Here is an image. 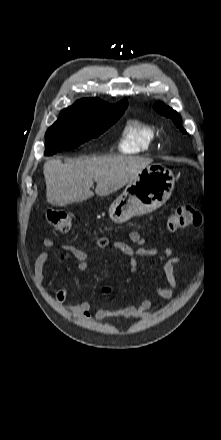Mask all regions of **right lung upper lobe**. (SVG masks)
<instances>
[{
    "mask_svg": "<svg viewBox=\"0 0 221 440\" xmlns=\"http://www.w3.org/2000/svg\"><path fill=\"white\" fill-rule=\"evenodd\" d=\"M127 100L124 99L115 105H108L97 98H85L78 100L72 106L66 108L69 110H97V109H121L127 107Z\"/></svg>",
    "mask_w": 221,
    "mask_h": 440,
    "instance_id": "obj_1",
    "label": "right lung upper lobe"
}]
</instances>
